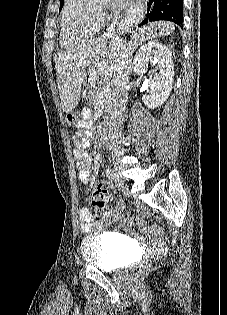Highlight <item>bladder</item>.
<instances>
[{
    "instance_id": "31cf9c89",
    "label": "bladder",
    "mask_w": 227,
    "mask_h": 315,
    "mask_svg": "<svg viewBox=\"0 0 227 315\" xmlns=\"http://www.w3.org/2000/svg\"><path fill=\"white\" fill-rule=\"evenodd\" d=\"M81 253L86 263L101 270L113 271L123 266L130 248L117 237L91 236L83 240Z\"/></svg>"
}]
</instances>
